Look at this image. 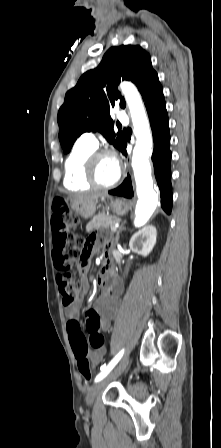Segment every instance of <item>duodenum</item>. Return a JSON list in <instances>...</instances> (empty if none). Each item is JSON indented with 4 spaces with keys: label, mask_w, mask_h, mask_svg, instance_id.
<instances>
[{
    "label": "duodenum",
    "mask_w": 221,
    "mask_h": 448,
    "mask_svg": "<svg viewBox=\"0 0 221 448\" xmlns=\"http://www.w3.org/2000/svg\"><path fill=\"white\" fill-rule=\"evenodd\" d=\"M106 257H107V266L106 267H108L111 263V256H110V254H107ZM106 267H104L99 274V282L101 283L102 286H105L108 283V275L106 273Z\"/></svg>",
    "instance_id": "1"
}]
</instances>
